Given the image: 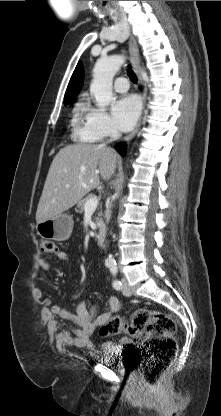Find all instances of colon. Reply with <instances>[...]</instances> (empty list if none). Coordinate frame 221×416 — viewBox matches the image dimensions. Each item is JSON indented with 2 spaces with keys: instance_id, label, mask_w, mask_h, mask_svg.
Here are the masks:
<instances>
[{
  "instance_id": "obj_1",
  "label": "colon",
  "mask_w": 221,
  "mask_h": 416,
  "mask_svg": "<svg viewBox=\"0 0 221 416\" xmlns=\"http://www.w3.org/2000/svg\"><path fill=\"white\" fill-rule=\"evenodd\" d=\"M41 249L44 254H53L56 253L57 246L52 240H44ZM176 329V322L171 315L141 308L136 310L130 319L111 317L100 327V334L144 335L140 353L141 378L147 384H155L176 355Z\"/></svg>"
}]
</instances>
